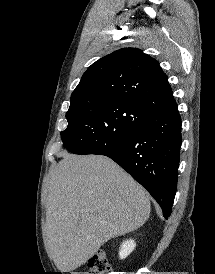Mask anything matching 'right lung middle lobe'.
<instances>
[{
  "mask_svg": "<svg viewBox=\"0 0 215 274\" xmlns=\"http://www.w3.org/2000/svg\"><path fill=\"white\" fill-rule=\"evenodd\" d=\"M151 114L120 100L71 103L68 127L61 132L63 146L74 154H94L128 137Z\"/></svg>",
  "mask_w": 215,
  "mask_h": 274,
  "instance_id": "1",
  "label": "right lung middle lobe"
}]
</instances>
